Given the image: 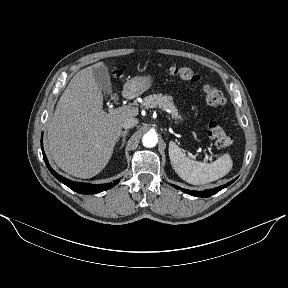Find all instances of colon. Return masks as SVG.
<instances>
[{
    "mask_svg": "<svg viewBox=\"0 0 288 288\" xmlns=\"http://www.w3.org/2000/svg\"><path fill=\"white\" fill-rule=\"evenodd\" d=\"M170 74L172 76L179 77L182 80L189 82H198L200 77L190 67H171ZM203 93L206 103L212 108H219L225 104V97L221 90L218 88L205 84L203 85ZM208 137L214 141L215 145L219 149H226L230 146L232 140L228 136L223 128L216 122H210L207 127Z\"/></svg>",
    "mask_w": 288,
    "mask_h": 288,
    "instance_id": "5ec220e1",
    "label": "colon"
}]
</instances>
